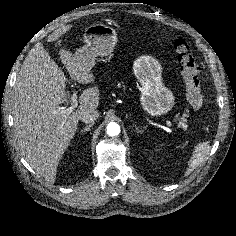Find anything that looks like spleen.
I'll use <instances>...</instances> for the list:
<instances>
[{
    "instance_id": "1",
    "label": "spleen",
    "mask_w": 236,
    "mask_h": 236,
    "mask_svg": "<svg viewBox=\"0 0 236 236\" xmlns=\"http://www.w3.org/2000/svg\"><path fill=\"white\" fill-rule=\"evenodd\" d=\"M210 151L209 144H199L194 148L192 159L189 163V168L185 172V176L190 175L196 167H198Z\"/></svg>"
}]
</instances>
